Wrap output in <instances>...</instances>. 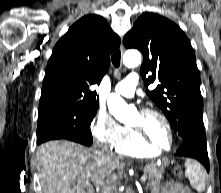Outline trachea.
<instances>
[{"mask_svg": "<svg viewBox=\"0 0 221 193\" xmlns=\"http://www.w3.org/2000/svg\"><path fill=\"white\" fill-rule=\"evenodd\" d=\"M120 59H121L120 51H116L111 57L112 63L116 68L120 66Z\"/></svg>", "mask_w": 221, "mask_h": 193, "instance_id": "obj_1", "label": "trachea"}]
</instances>
